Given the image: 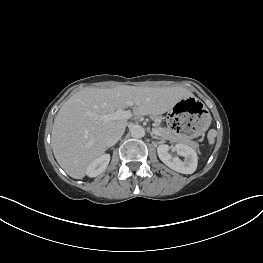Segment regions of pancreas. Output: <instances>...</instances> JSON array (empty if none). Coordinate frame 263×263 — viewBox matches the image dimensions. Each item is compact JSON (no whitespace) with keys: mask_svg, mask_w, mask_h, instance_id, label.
I'll list each match as a JSON object with an SVG mask.
<instances>
[{"mask_svg":"<svg viewBox=\"0 0 263 263\" xmlns=\"http://www.w3.org/2000/svg\"><path fill=\"white\" fill-rule=\"evenodd\" d=\"M159 132H160V136L161 138L163 139H168V140H171V141H174V142H180V143H184V144H187L195 149H198L199 148V144L193 140H190L186 137H181V136H178L174 130H172L171 128H162V127H157L156 128Z\"/></svg>","mask_w":263,"mask_h":263,"instance_id":"cf45deb5","label":"pancreas"}]
</instances>
